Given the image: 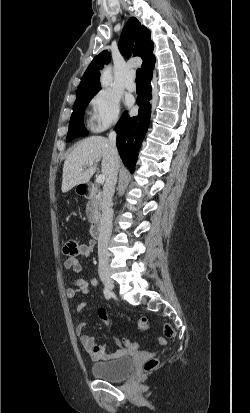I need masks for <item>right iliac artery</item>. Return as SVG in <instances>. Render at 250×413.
<instances>
[{"label":"right iliac artery","instance_id":"obj_1","mask_svg":"<svg viewBox=\"0 0 250 413\" xmlns=\"http://www.w3.org/2000/svg\"><path fill=\"white\" fill-rule=\"evenodd\" d=\"M103 292H104V296H105L106 299L111 298V292L108 288H104Z\"/></svg>","mask_w":250,"mask_h":413}]
</instances>
